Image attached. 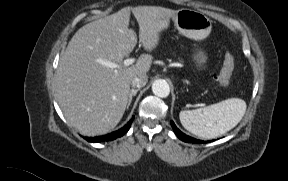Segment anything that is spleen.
<instances>
[{
    "instance_id": "3e777b00",
    "label": "spleen",
    "mask_w": 288,
    "mask_h": 181,
    "mask_svg": "<svg viewBox=\"0 0 288 181\" xmlns=\"http://www.w3.org/2000/svg\"><path fill=\"white\" fill-rule=\"evenodd\" d=\"M246 103L230 98L204 108L183 110L179 118L183 127L203 139L219 137L233 129L246 112Z\"/></svg>"
}]
</instances>
